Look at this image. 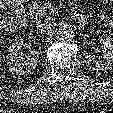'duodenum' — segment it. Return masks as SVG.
<instances>
[{
	"instance_id": "obj_1",
	"label": "duodenum",
	"mask_w": 113,
	"mask_h": 113,
	"mask_svg": "<svg viewBox=\"0 0 113 113\" xmlns=\"http://www.w3.org/2000/svg\"><path fill=\"white\" fill-rule=\"evenodd\" d=\"M73 17H74L75 21H76L77 23H79V24H85L86 21H87V20H86V17L83 16V15H74ZM21 26H22L23 28H25V27L28 26V20H27L26 18H23V19L21 20Z\"/></svg>"
}]
</instances>
